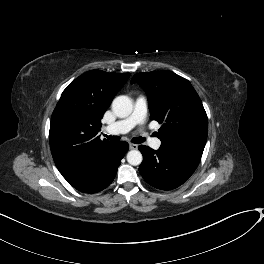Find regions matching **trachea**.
<instances>
[{"mask_svg":"<svg viewBox=\"0 0 264 264\" xmlns=\"http://www.w3.org/2000/svg\"><path fill=\"white\" fill-rule=\"evenodd\" d=\"M106 138H108L111 141H119L120 137L119 136H111V135H105ZM145 141V139L143 137H135L132 139L133 143L139 144V143H143Z\"/></svg>","mask_w":264,"mask_h":264,"instance_id":"obj_1","label":"trachea"}]
</instances>
